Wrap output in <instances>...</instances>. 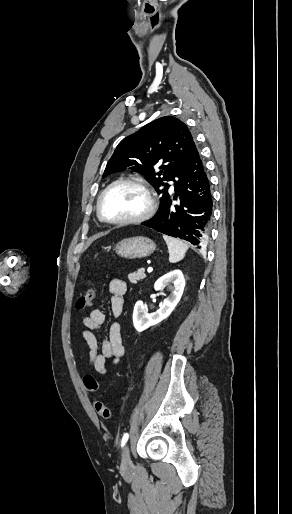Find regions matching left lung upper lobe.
Here are the masks:
<instances>
[{
  "label": "left lung upper lobe",
  "instance_id": "obj_1",
  "mask_svg": "<svg viewBox=\"0 0 292 514\" xmlns=\"http://www.w3.org/2000/svg\"><path fill=\"white\" fill-rule=\"evenodd\" d=\"M193 143L185 123L172 116L161 117L118 144L102 178L130 169L145 175L163 198L168 195L169 184L166 181L176 184L184 172ZM155 167L160 171H155Z\"/></svg>",
  "mask_w": 292,
  "mask_h": 514
}]
</instances>
